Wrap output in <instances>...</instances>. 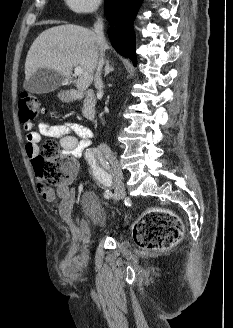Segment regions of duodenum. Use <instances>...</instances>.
I'll return each instance as SVG.
<instances>
[{"mask_svg": "<svg viewBox=\"0 0 233 328\" xmlns=\"http://www.w3.org/2000/svg\"><path fill=\"white\" fill-rule=\"evenodd\" d=\"M70 100H83L82 104V115L85 119L91 122L96 120V98L92 91L88 90L84 93L81 92H70L67 95Z\"/></svg>", "mask_w": 233, "mask_h": 328, "instance_id": "410a0bca", "label": "duodenum"}]
</instances>
